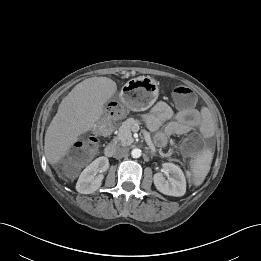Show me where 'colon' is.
Returning a JSON list of instances; mask_svg holds the SVG:
<instances>
[{"instance_id":"5ec220e1","label":"colon","mask_w":261,"mask_h":261,"mask_svg":"<svg viewBox=\"0 0 261 261\" xmlns=\"http://www.w3.org/2000/svg\"><path fill=\"white\" fill-rule=\"evenodd\" d=\"M176 102L183 107H190L195 103L196 97L193 91L183 85L175 86L172 90ZM109 112L117 118L121 117L123 112L120 107L110 108ZM97 147V136H89L85 138L78 147L70 151L63 162L66 171H76L79 166L90 159ZM185 153L192 154L196 148V141L189 140L182 144Z\"/></svg>"}]
</instances>
